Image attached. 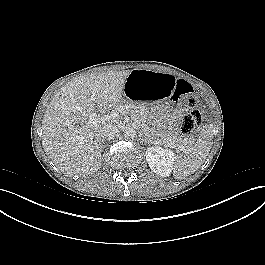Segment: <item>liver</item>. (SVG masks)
I'll list each match as a JSON object with an SVG mask.
<instances>
[{"label": "liver", "instance_id": "obj_1", "mask_svg": "<svg viewBox=\"0 0 265 265\" xmlns=\"http://www.w3.org/2000/svg\"><path fill=\"white\" fill-rule=\"evenodd\" d=\"M130 70L85 75L63 86L49 103L42 120V146L66 176L89 175L101 167V130L117 119L98 126L87 122L95 108L116 110Z\"/></svg>", "mask_w": 265, "mask_h": 265}]
</instances>
